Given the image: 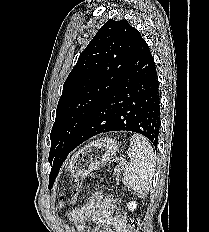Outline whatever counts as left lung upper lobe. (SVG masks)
I'll list each match as a JSON object with an SVG mask.
<instances>
[{
    "mask_svg": "<svg viewBox=\"0 0 209 232\" xmlns=\"http://www.w3.org/2000/svg\"><path fill=\"white\" fill-rule=\"evenodd\" d=\"M141 38L128 21L110 19L80 54L64 83L50 134L51 185L76 135L128 69Z\"/></svg>",
    "mask_w": 209,
    "mask_h": 232,
    "instance_id": "1",
    "label": "left lung upper lobe"
}]
</instances>
